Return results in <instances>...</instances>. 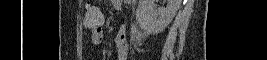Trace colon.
<instances>
[{"instance_id":"obj_1","label":"colon","mask_w":267,"mask_h":60,"mask_svg":"<svg viewBox=\"0 0 267 60\" xmlns=\"http://www.w3.org/2000/svg\"><path fill=\"white\" fill-rule=\"evenodd\" d=\"M85 24L90 28H98L102 24V12L97 5H89L85 11Z\"/></svg>"}]
</instances>
